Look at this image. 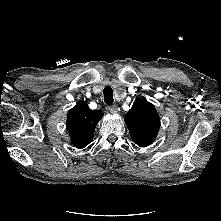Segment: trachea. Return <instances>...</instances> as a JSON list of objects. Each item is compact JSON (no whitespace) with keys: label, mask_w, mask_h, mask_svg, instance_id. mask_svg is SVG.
I'll use <instances>...</instances> for the list:
<instances>
[{"label":"trachea","mask_w":221,"mask_h":221,"mask_svg":"<svg viewBox=\"0 0 221 221\" xmlns=\"http://www.w3.org/2000/svg\"><path fill=\"white\" fill-rule=\"evenodd\" d=\"M103 94H104V102L107 105H112L114 101L112 88L110 86H106L103 90Z\"/></svg>","instance_id":"obj_1"}]
</instances>
